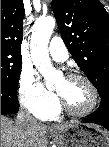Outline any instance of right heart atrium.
<instances>
[{
    "instance_id": "obj_1",
    "label": "right heart atrium",
    "mask_w": 109,
    "mask_h": 147,
    "mask_svg": "<svg viewBox=\"0 0 109 147\" xmlns=\"http://www.w3.org/2000/svg\"><path fill=\"white\" fill-rule=\"evenodd\" d=\"M18 95L20 103L35 115L53 108L57 102L56 96L47 90L28 68L21 71Z\"/></svg>"
}]
</instances>
